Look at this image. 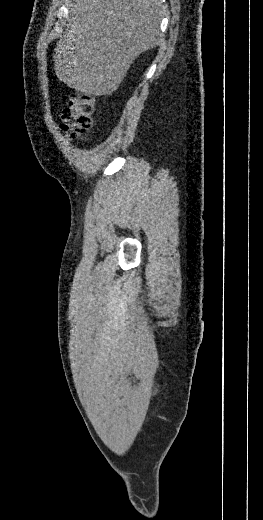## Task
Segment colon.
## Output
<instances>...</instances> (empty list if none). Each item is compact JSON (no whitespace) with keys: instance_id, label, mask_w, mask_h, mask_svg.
<instances>
[{"instance_id":"1","label":"colon","mask_w":263,"mask_h":520,"mask_svg":"<svg viewBox=\"0 0 263 520\" xmlns=\"http://www.w3.org/2000/svg\"><path fill=\"white\" fill-rule=\"evenodd\" d=\"M94 98L88 93L75 92L62 111L61 128L74 139H83L92 126Z\"/></svg>"}]
</instances>
